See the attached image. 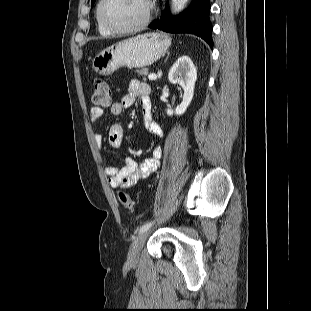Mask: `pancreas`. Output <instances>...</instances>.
I'll return each instance as SVG.
<instances>
[{
	"instance_id": "cf45deb5",
	"label": "pancreas",
	"mask_w": 311,
	"mask_h": 311,
	"mask_svg": "<svg viewBox=\"0 0 311 311\" xmlns=\"http://www.w3.org/2000/svg\"><path fill=\"white\" fill-rule=\"evenodd\" d=\"M136 72L138 73L139 76H144L143 79L146 80L145 76L148 74L147 68L139 69Z\"/></svg>"
}]
</instances>
